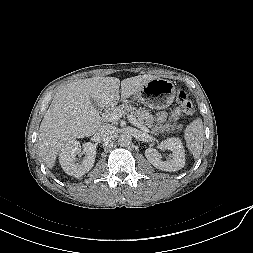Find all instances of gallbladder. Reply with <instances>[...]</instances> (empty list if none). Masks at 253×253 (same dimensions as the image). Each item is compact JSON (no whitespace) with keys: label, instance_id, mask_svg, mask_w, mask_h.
<instances>
[{"label":"gallbladder","instance_id":"bac80fb5","mask_svg":"<svg viewBox=\"0 0 253 253\" xmlns=\"http://www.w3.org/2000/svg\"><path fill=\"white\" fill-rule=\"evenodd\" d=\"M90 101H91V104H92L96 109L99 107L98 104L96 103V101H95L93 98H91Z\"/></svg>","mask_w":253,"mask_h":253}]
</instances>
